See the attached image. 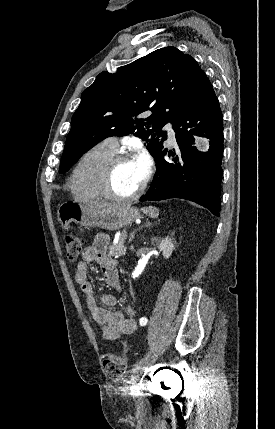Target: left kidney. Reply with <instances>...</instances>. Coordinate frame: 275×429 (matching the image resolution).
<instances>
[{
  "mask_svg": "<svg viewBox=\"0 0 275 429\" xmlns=\"http://www.w3.org/2000/svg\"><path fill=\"white\" fill-rule=\"evenodd\" d=\"M152 244L156 245L158 249L162 252L165 259H169L174 250V244L172 239L168 236L165 238H153Z\"/></svg>",
  "mask_w": 275,
  "mask_h": 429,
  "instance_id": "5707ae66",
  "label": "left kidney"
}]
</instances>
